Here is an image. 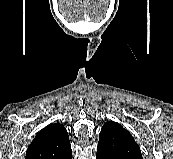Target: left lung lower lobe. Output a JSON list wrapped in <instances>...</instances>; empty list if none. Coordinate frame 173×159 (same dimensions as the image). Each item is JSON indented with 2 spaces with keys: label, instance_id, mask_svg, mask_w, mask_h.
I'll return each instance as SVG.
<instances>
[{
  "label": "left lung lower lobe",
  "instance_id": "obj_1",
  "mask_svg": "<svg viewBox=\"0 0 173 159\" xmlns=\"http://www.w3.org/2000/svg\"><path fill=\"white\" fill-rule=\"evenodd\" d=\"M96 159H123V158L115 155L114 153L106 150L101 146H98Z\"/></svg>",
  "mask_w": 173,
  "mask_h": 159
}]
</instances>
